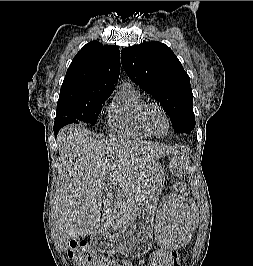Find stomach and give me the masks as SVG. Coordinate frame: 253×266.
<instances>
[{
	"label": "stomach",
	"instance_id": "0dacf381",
	"mask_svg": "<svg viewBox=\"0 0 253 266\" xmlns=\"http://www.w3.org/2000/svg\"><path fill=\"white\" fill-rule=\"evenodd\" d=\"M155 171L152 175L151 186L158 179ZM152 188L154 187L150 188V193H152ZM148 199L149 201L144 202L142 209L132 223L114 235L100 234L93 242L95 246L102 252H117L128 258L140 257L147 253L154 241V200L152 197H148ZM162 247L166 248V246Z\"/></svg>",
	"mask_w": 253,
	"mask_h": 266
}]
</instances>
